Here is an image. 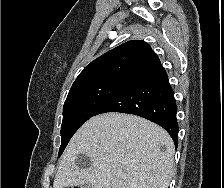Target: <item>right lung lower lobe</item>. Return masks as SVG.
Returning a JSON list of instances; mask_svg holds the SVG:
<instances>
[{
	"label": "right lung lower lobe",
	"mask_w": 224,
	"mask_h": 188,
	"mask_svg": "<svg viewBox=\"0 0 224 188\" xmlns=\"http://www.w3.org/2000/svg\"><path fill=\"white\" fill-rule=\"evenodd\" d=\"M121 112L144 117L163 127L178 144L177 105L167 73L157 63L104 104L95 115Z\"/></svg>",
	"instance_id": "1"
}]
</instances>
